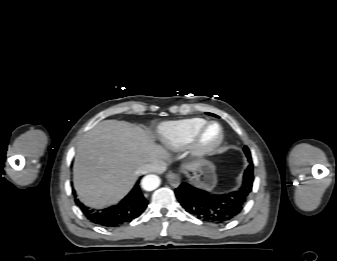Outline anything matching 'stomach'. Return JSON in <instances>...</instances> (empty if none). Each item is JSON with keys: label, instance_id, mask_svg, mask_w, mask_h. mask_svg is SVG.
Wrapping results in <instances>:
<instances>
[{"label": "stomach", "instance_id": "obj_1", "mask_svg": "<svg viewBox=\"0 0 337 261\" xmlns=\"http://www.w3.org/2000/svg\"><path fill=\"white\" fill-rule=\"evenodd\" d=\"M195 184L206 189H212L216 185L215 166L207 161L201 160L193 170Z\"/></svg>", "mask_w": 337, "mask_h": 261}]
</instances>
